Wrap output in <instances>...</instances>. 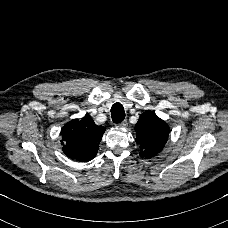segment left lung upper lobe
Returning a JSON list of instances; mask_svg holds the SVG:
<instances>
[{
	"mask_svg": "<svg viewBox=\"0 0 228 228\" xmlns=\"http://www.w3.org/2000/svg\"><path fill=\"white\" fill-rule=\"evenodd\" d=\"M136 143L140 146V156L152 158L157 155L168 140L169 126L154 112H144L135 125Z\"/></svg>",
	"mask_w": 228,
	"mask_h": 228,
	"instance_id": "5c2ea615",
	"label": "left lung upper lobe"
}]
</instances>
